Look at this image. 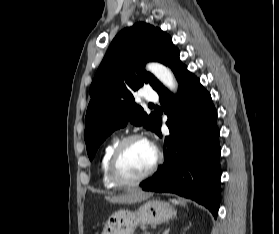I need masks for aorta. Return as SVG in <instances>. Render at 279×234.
Returning <instances> with one entry per match:
<instances>
[{
  "mask_svg": "<svg viewBox=\"0 0 279 234\" xmlns=\"http://www.w3.org/2000/svg\"><path fill=\"white\" fill-rule=\"evenodd\" d=\"M146 69L153 73L155 77L168 89L173 92L177 90L176 79L172 71L168 67L160 63H149L147 64Z\"/></svg>",
  "mask_w": 279,
  "mask_h": 234,
  "instance_id": "obj_1",
  "label": "aorta"
}]
</instances>
